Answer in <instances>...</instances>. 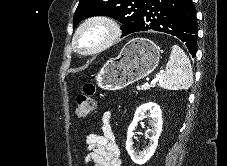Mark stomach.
I'll list each match as a JSON object with an SVG mask.
<instances>
[{
	"instance_id": "0dacf381",
	"label": "stomach",
	"mask_w": 227,
	"mask_h": 166,
	"mask_svg": "<svg viewBox=\"0 0 227 166\" xmlns=\"http://www.w3.org/2000/svg\"><path fill=\"white\" fill-rule=\"evenodd\" d=\"M160 48L146 38L130 40L120 54L107 61L96 76L97 85L110 91L125 88L152 73L159 63Z\"/></svg>"
}]
</instances>
